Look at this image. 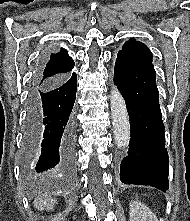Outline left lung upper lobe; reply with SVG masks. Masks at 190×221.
Masks as SVG:
<instances>
[{"label": "left lung upper lobe", "instance_id": "left-lung-upper-lobe-1", "mask_svg": "<svg viewBox=\"0 0 190 221\" xmlns=\"http://www.w3.org/2000/svg\"><path fill=\"white\" fill-rule=\"evenodd\" d=\"M118 55L127 56L134 60L149 63L152 61V53L148 47L135 39H130L129 41L125 42L122 50L118 52Z\"/></svg>", "mask_w": 190, "mask_h": 221}]
</instances>
